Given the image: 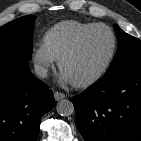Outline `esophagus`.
Segmentation results:
<instances>
[{
	"label": "esophagus",
	"instance_id": "34e87169",
	"mask_svg": "<svg viewBox=\"0 0 141 141\" xmlns=\"http://www.w3.org/2000/svg\"><path fill=\"white\" fill-rule=\"evenodd\" d=\"M66 97V95L64 93H61V92H54V98L56 101H59V100H62Z\"/></svg>",
	"mask_w": 141,
	"mask_h": 141
}]
</instances>
